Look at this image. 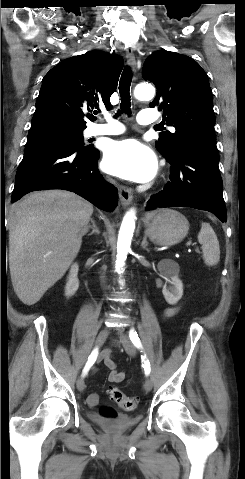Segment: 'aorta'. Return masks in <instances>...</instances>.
Listing matches in <instances>:
<instances>
[{
  "mask_svg": "<svg viewBox=\"0 0 245 479\" xmlns=\"http://www.w3.org/2000/svg\"><path fill=\"white\" fill-rule=\"evenodd\" d=\"M154 94V87L148 84H139L136 86L134 91L135 97L139 100H150L154 97ZM135 214V210L130 209L125 214L119 230L116 256V269L118 271H120L125 265L127 254L130 250L131 240L135 229Z\"/></svg>",
  "mask_w": 245,
  "mask_h": 479,
  "instance_id": "762f6f07",
  "label": "aorta"
}]
</instances>
